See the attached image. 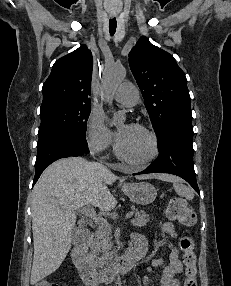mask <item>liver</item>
I'll return each mask as SVG.
<instances>
[{
    "label": "liver",
    "mask_w": 231,
    "mask_h": 286,
    "mask_svg": "<svg viewBox=\"0 0 231 286\" xmlns=\"http://www.w3.org/2000/svg\"><path fill=\"white\" fill-rule=\"evenodd\" d=\"M137 179L173 181L168 174H149ZM118 177L105 166L82 157L55 161L40 176L32 193L34 258L31 285L53 273L71 248L75 211L93 205L112 210L117 201L108 186Z\"/></svg>",
    "instance_id": "liver-1"
}]
</instances>
